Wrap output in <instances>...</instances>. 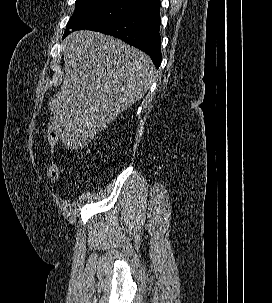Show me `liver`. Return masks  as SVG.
<instances>
[{"instance_id": "obj_1", "label": "liver", "mask_w": 272, "mask_h": 303, "mask_svg": "<svg viewBox=\"0 0 272 303\" xmlns=\"http://www.w3.org/2000/svg\"><path fill=\"white\" fill-rule=\"evenodd\" d=\"M62 45L65 76L49 109L64 146L78 149L148 91L156 70L148 55L102 33L76 31Z\"/></svg>"}]
</instances>
